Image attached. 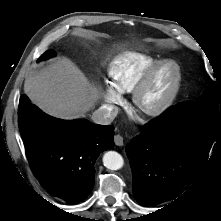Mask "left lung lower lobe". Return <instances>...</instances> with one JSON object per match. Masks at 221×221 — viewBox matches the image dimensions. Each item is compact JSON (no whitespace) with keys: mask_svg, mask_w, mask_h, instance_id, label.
I'll return each instance as SVG.
<instances>
[{"mask_svg":"<svg viewBox=\"0 0 221 221\" xmlns=\"http://www.w3.org/2000/svg\"><path fill=\"white\" fill-rule=\"evenodd\" d=\"M175 106L144 125L126 146L135 199L143 205L163 203L201 171L221 126L174 120Z\"/></svg>","mask_w":221,"mask_h":221,"instance_id":"left-lung-lower-lobe-1","label":"left lung lower lobe"}]
</instances>
